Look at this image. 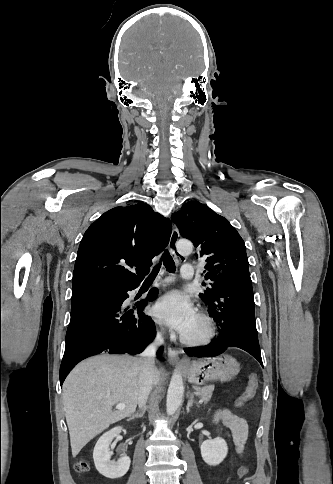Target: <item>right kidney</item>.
I'll use <instances>...</instances> for the list:
<instances>
[{
  "instance_id": "right-kidney-1",
  "label": "right kidney",
  "mask_w": 333,
  "mask_h": 484,
  "mask_svg": "<svg viewBox=\"0 0 333 484\" xmlns=\"http://www.w3.org/2000/svg\"><path fill=\"white\" fill-rule=\"evenodd\" d=\"M121 431L122 427H115L109 430L99 438L94 447L93 459L96 469L109 479H117L124 476L130 467L131 460L127 456H123L117 461L110 460L112 454L109 451V445Z\"/></svg>"
}]
</instances>
